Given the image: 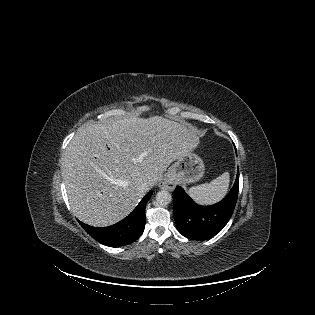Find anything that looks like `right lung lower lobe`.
<instances>
[{"label":"right lung lower lobe","mask_w":315,"mask_h":315,"mask_svg":"<svg viewBox=\"0 0 315 315\" xmlns=\"http://www.w3.org/2000/svg\"><path fill=\"white\" fill-rule=\"evenodd\" d=\"M152 193V190H150L126 218L114 225L98 228L80 221L79 223L91 237L103 245L110 247L128 245L137 240L144 231L146 222L145 205Z\"/></svg>","instance_id":"obj_1"}]
</instances>
